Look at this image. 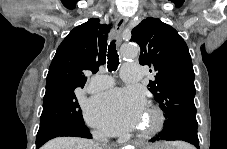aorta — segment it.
<instances>
[{
    "label": "aorta",
    "mask_w": 227,
    "mask_h": 149,
    "mask_svg": "<svg viewBox=\"0 0 227 149\" xmlns=\"http://www.w3.org/2000/svg\"><path fill=\"white\" fill-rule=\"evenodd\" d=\"M139 52L138 47L132 46V45H126L122 48L121 55L125 59H132L137 57Z\"/></svg>",
    "instance_id": "1"
}]
</instances>
